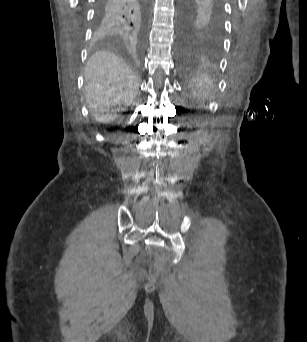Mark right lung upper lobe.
Returning a JSON list of instances; mask_svg holds the SVG:
<instances>
[{
	"label": "right lung upper lobe",
	"instance_id": "cb5924a9",
	"mask_svg": "<svg viewBox=\"0 0 307 342\" xmlns=\"http://www.w3.org/2000/svg\"><path fill=\"white\" fill-rule=\"evenodd\" d=\"M148 0H99V32L106 38H135L144 30Z\"/></svg>",
	"mask_w": 307,
	"mask_h": 342
}]
</instances>
